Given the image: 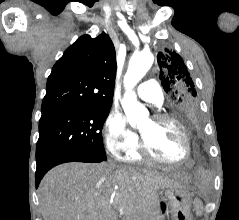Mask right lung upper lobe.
<instances>
[{
    "instance_id": "right-lung-upper-lobe-1",
    "label": "right lung upper lobe",
    "mask_w": 239,
    "mask_h": 220,
    "mask_svg": "<svg viewBox=\"0 0 239 220\" xmlns=\"http://www.w3.org/2000/svg\"><path fill=\"white\" fill-rule=\"evenodd\" d=\"M115 76V48L108 35L81 36L53 66L41 112L111 108Z\"/></svg>"
}]
</instances>
